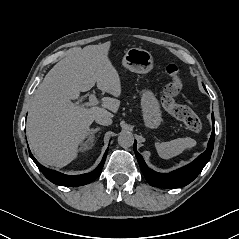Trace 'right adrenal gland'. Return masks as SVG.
Masks as SVG:
<instances>
[{"mask_svg": "<svg viewBox=\"0 0 239 239\" xmlns=\"http://www.w3.org/2000/svg\"><path fill=\"white\" fill-rule=\"evenodd\" d=\"M100 130H101V127L91 128L89 130V137H88V139L85 142V149H88V148H90L93 145L95 133H97ZM88 143L90 144V146L87 145Z\"/></svg>", "mask_w": 239, "mask_h": 239, "instance_id": "2a0ac1e0", "label": "right adrenal gland"}]
</instances>
